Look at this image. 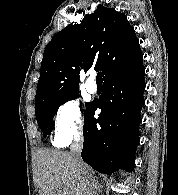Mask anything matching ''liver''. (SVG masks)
<instances>
[{
    "mask_svg": "<svg viewBox=\"0 0 178 195\" xmlns=\"http://www.w3.org/2000/svg\"><path fill=\"white\" fill-rule=\"evenodd\" d=\"M80 168L72 153L40 149L37 153L39 195H92L94 170Z\"/></svg>",
    "mask_w": 178,
    "mask_h": 195,
    "instance_id": "obj_1",
    "label": "liver"
}]
</instances>
